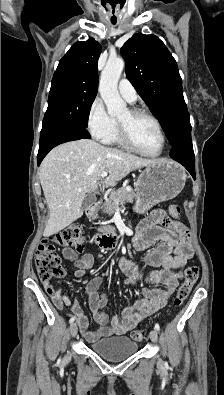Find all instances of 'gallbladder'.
Listing matches in <instances>:
<instances>
[{
	"label": "gallbladder",
	"mask_w": 224,
	"mask_h": 395,
	"mask_svg": "<svg viewBox=\"0 0 224 395\" xmlns=\"http://www.w3.org/2000/svg\"><path fill=\"white\" fill-rule=\"evenodd\" d=\"M95 202V196L87 194L82 202V210L85 211L88 207Z\"/></svg>",
	"instance_id": "obj_1"
}]
</instances>
